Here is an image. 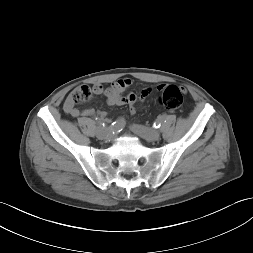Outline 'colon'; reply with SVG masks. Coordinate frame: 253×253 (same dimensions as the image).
Instances as JSON below:
<instances>
[{"label":"colon","mask_w":253,"mask_h":253,"mask_svg":"<svg viewBox=\"0 0 253 253\" xmlns=\"http://www.w3.org/2000/svg\"><path fill=\"white\" fill-rule=\"evenodd\" d=\"M161 93L159 96V102L169 111H175L182 106L183 94L182 90L175 86L169 85L166 87H160ZM92 93L87 86H82L74 90L70 95V104L75 106L77 104H83L91 99Z\"/></svg>","instance_id":"obj_1"}]
</instances>
